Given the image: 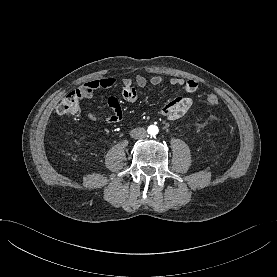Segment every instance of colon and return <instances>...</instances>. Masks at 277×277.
<instances>
[{"mask_svg": "<svg viewBox=\"0 0 277 277\" xmlns=\"http://www.w3.org/2000/svg\"><path fill=\"white\" fill-rule=\"evenodd\" d=\"M82 98V93L79 90H75L69 93L57 106V112L60 115L67 116H77L80 112V100ZM206 102L210 106H216L219 103L218 96L212 92L208 91L206 93Z\"/></svg>", "mask_w": 277, "mask_h": 277, "instance_id": "obj_1", "label": "colon"}]
</instances>
